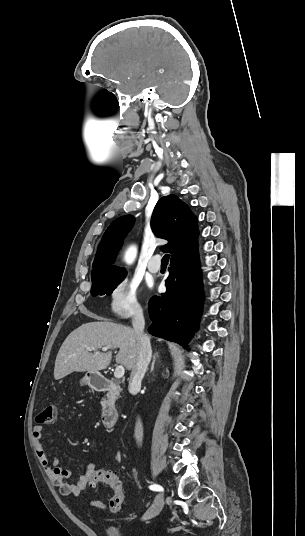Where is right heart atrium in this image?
Masks as SVG:
<instances>
[{
	"label": "right heart atrium",
	"mask_w": 305,
	"mask_h": 536,
	"mask_svg": "<svg viewBox=\"0 0 305 536\" xmlns=\"http://www.w3.org/2000/svg\"><path fill=\"white\" fill-rule=\"evenodd\" d=\"M139 284L128 276L121 278L109 293L108 307L120 317L129 318L141 314Z\"/></svg>",
	"instance_id": "obj_1"
}]
</instances>
